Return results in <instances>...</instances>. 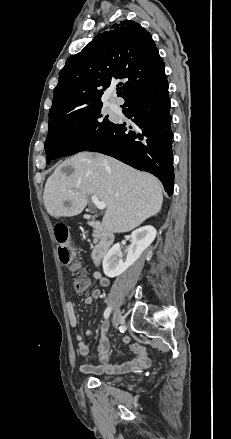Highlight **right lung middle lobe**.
<instances>
[{
  "mask_svg": "<svg viewBox=\"0 0 231 439\" xmlns=\"http://www.w3.org/2000/svg\"><path fill=\"white\" fill-rule=\"evenodd\" d=\"M101 108L102 105L91 107L49 122L45 142L47 164L52 159L87 150L114 126Z\"/></svg>",
  "mask_w": 231,
  "mask_h": 439,
  "instance_id": "dd1d6c3e",
  "label": "right lung middle lobe"
}]
</instances>
